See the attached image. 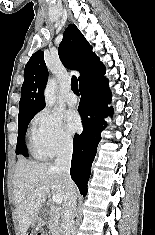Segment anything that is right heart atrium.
<instances>
[{
    "label": "right heart atrium",
    "mask_w": 155,
    "mask_h": 235,
    "mask_svg": "<svg viewBox=\"0 0 155 235\" xmlns=\"http://www.w3.org/2000/svg\"><path fill=\"white\" fill-rule=\"evenodd\" d=\"M31 136L35 145L47 157L67 152L73 145V138L65 129L61 117L48 109L34 116Z\"/></svg>",
    "instance_id": "d8ad5b80"
}]
</instances>
